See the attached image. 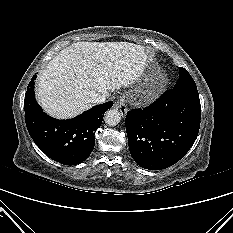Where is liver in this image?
I'll return each instance as SVG.
<instances>
[{"label":"liver","instance_id":"liver-1","mask_svg":"<svg viewBox=\"0 0 233 233\" xmlns=\"http://www.w3.org/2000/svg\"><path fill=\"white\" fill-rule=\"evenodd\" d=\"M145 47L128 42H77L64 48L42 70L36 96L59 119L92 107L96 94L132 85L144 72Z\"/></svg>","mask_w":233,"mask_h":233}]
</instances>
